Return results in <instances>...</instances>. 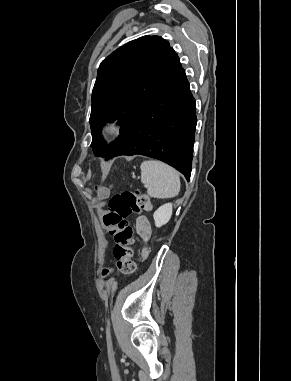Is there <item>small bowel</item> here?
<instances>
[{
    "mask_svg": "<svg viewBox=\"0 0 291 381\" xmlns=\"http://www.w3.org/2000/svg\"><path fill=\"white\" fill-rule=\"evenodd\" d=\"M137 232L139 236L147 241L151 236V227L148 220L145 217H140L136 223Z\"/></svg>",
    "mask_w": 291,
    "mask_h": 381,
    "instance_id": "c3829d8e",
    "label": "small bowel"
}]
</instances>
